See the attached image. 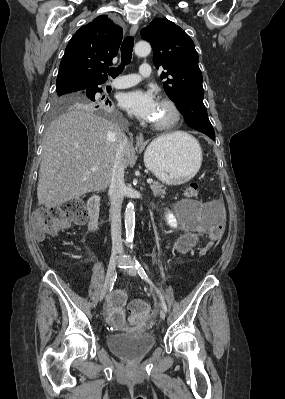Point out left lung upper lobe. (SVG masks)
I'll use <instances>...</instances> for the list:
<instances>
[{
  "label": "left lung upper lobe",
  "mask_w": 285,
  "mask_h": 399,
  "mask_svg": "<svg viewBox=\"0 0 285 399\" xmlns=\"http://www.w3.org/2000/svg\"><path fill=\"white\" fill-rule=\"evenodd\" d=\"M141 36L153 48V63L161 73L164 89L191 128L214 135L203 104L204 91L199 57L192 39L173 22L158 18L141 30Z\"/></svg>",
  "instance_id": "1"
}]
</instances>
